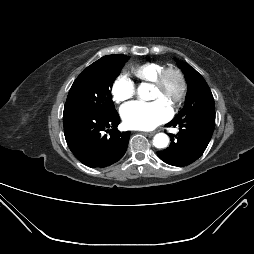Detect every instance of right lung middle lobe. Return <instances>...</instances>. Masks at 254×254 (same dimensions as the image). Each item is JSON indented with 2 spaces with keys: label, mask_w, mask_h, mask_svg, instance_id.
<instances>
[{
  "label": "right lung middle lobe",
  "mask_w": 254,
  "mask_h": 254,
  "mask_svg": "<svg viewBox=\"0 0 254 254\" xmlns=\"http://www.w3.org/2000/svg\"><path fill=\"white\" fill-rule=\"evenodd\" d=\"M128 59L125 55H108L92 63L74 81L65 105L96 113L115 112L110 88Z\"/></svg>",
  "instance_id": "obj_1"
}]
</instances>
